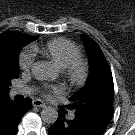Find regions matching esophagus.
<instances>
[{
  "instance_id": "1",
  "label": "esophagus",
  "mask_w": 135,
  "mask_h": 135,
  "mask_svg": "<svg viewBox=\"0 0 135 135\" xmlns=\"http://www.w3.org/2000/svg\"><path fill=\"white\" fill-rule=\"evenodd\" d=\"M33 106L34 107H41V108H43V107H46V103L43 102L40 99H35V100H33Z\"/></svg>"
}]
</instances>
